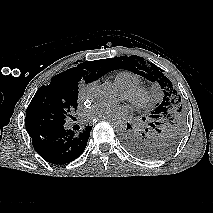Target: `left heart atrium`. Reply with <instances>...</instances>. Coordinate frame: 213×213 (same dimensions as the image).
Here are the masks:
<instances>
[{
	"label": "left heart atrium",
	"instance_id": "obj_1",
	"mask_svg": "<svg viewBox=\"0 0 213 213\" xmlns=\"http://www.w3.org/2000/svg\"><path fill=\"white\" fill-rule=\"evenodd\" d=\"M129 107L126 104H106L98 102L84 111V118L89 121L116 117L128 113Z\"/></svg>",
	"mask_w": 213,
	"mask_h": 213
}]
</instances>
